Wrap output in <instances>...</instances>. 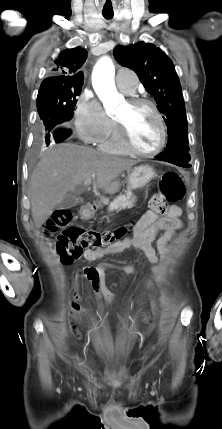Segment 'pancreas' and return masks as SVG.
Returning a JSON list of instances; mask_svg holds the SVG:
<instances>
[{
  "instance_id": "pancreas-1",
  "label": "pancreas",
  "mask_w": 222,
  "mask_h": 429,
  "mask_svg": "<svg viewBox=\"0 0 222 429\" xmlns=\"http://www.w3.org/2000/svg\"><path fill=\"white\" fill-rule=\"evenodd\" d=\"M135 202H136V197H132L128 194L120 195L110 203L108 211L111 212V211L121 210L125 208L130 209L134 207Z\"/></svg>"
}]
</instances>
